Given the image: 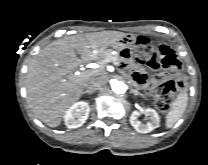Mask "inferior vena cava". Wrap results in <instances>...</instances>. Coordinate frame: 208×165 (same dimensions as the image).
Wrapping results in <instances>:
<instances>
[{
	"label": "inferior vena cava",
	"instance_id": "inferior-vena-cava-1",
	"mask_svg": "<svg viewBox=\"0 0 208 165\" xmlns=\"http://www.w3.org/2000/svg\"><path fill=\"white\" fill-rule=\"evenodd\" d=\"M105 84L104 80L100 78L93 79L89 85L87 86V91L89 93H93L94 91L98 90Z\"/></svg>",
	"mask_w": 208,
	"mask_h": 165
}]
</instances>
